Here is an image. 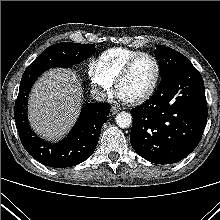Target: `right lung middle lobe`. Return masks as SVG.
Returning <instances> with one entry per match:
<instances>
[{"instance_id": "right-lung-middle-lobe-1", "label": "right lung middle lobe", "mask_w": 220, "mask_h": 220, "mask_svg": "<svg viewBox=\"0 0 220 220\" xmlns=\"http://www.w3.org/2000/svg\"><path fill=\"white\" fill-rule=\"evenodd\" d=\"M96 48L94 44L62 42L46 48L28 68L48 69L52 66L69 67L90 57Z\"/></svg>"}]
</instances>
